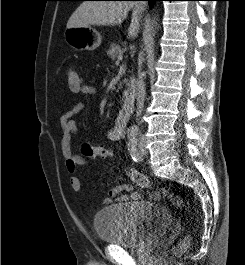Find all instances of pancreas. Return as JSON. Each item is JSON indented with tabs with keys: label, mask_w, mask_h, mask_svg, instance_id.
Instances as JSON below:
<instances>
[{
	"label": "pancreas",
	"mask_w": 245,
	"mask_h": 265,
	"mask_svg": "<svg viewBox=\"0 0 245 265\" xmlns=\"http://www.w3.org/2000/svg\"><path fill=\"white\" fill-rule=\"evenodd\" d=\"M123 49L120 45L112 43L110 45V48L107 51L108 57H110L112 60H115V58L118 57L119 54H123Z\"/></svg>",
	"instance_id": "cf45deb5"
}]
</instances>
